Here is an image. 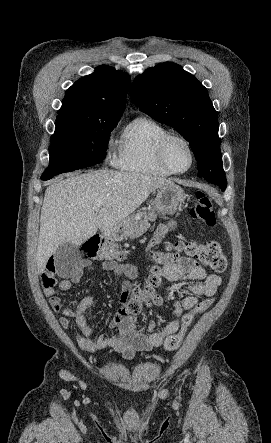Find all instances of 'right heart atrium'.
<instances>
[{
  "label": "right heart atrium",
  "instance_id": "obj_1",
  "mask_svg": "<svg viewBox=\"0 0 271 443\" xmlns=\"http://www.w3.org/2000/svg\"><path fill=\"white\" fill-rule=\"evenodd\" d=\"M120 124V121H117L109 132L105 140V152L108 160H114L116 153L118 151V143L115 137V132Z\"/></svg>",
  "mask_w": 271,
  "mask_h": 443
}]
</instances>
